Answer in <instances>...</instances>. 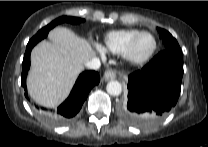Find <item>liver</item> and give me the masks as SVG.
Wrapping results in <instances>:
<instances>
[{
  "label": "liver",
  "instance_id": "6515ba94",
  "mask_svg": "<svg viewBox=\"0 0 208 147\" xmlns=\"http://www.w3.org/2000/svg\"><path fill=\"white\" fill-rule=\"evenodd\" d=\"M31 52V70L27 78L32 99L44 106L61 104L71 91L78 75L96 51L84 38L64 27L49 32Z\"/></svg>",
  "mask_w": 208,
  "mask_h": 147
}]
</instances>
